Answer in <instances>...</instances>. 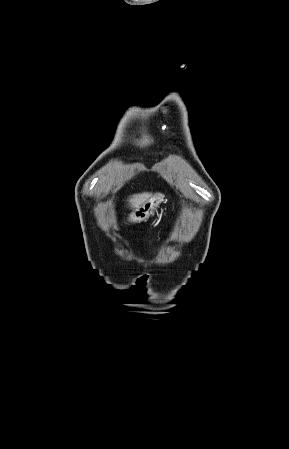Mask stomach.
<instances>
[{
  "label": "stomach",
  "mask_w": 289,
  "mask_h": 449,
  "mask_svg": "<svg viewBox=\"0 0 289 449\" xmlns=\"http://www.w3.org/2000/svg\"><path fill=\"white\" fill-rule=\"evenodd\" d=\"M164 195L158 193L150 196L143 204L136 207L128 217L130 223H140L147 220L163 201Z\"/></svg>",
  "instance_id": "0dacf381"
}]
</instances>
